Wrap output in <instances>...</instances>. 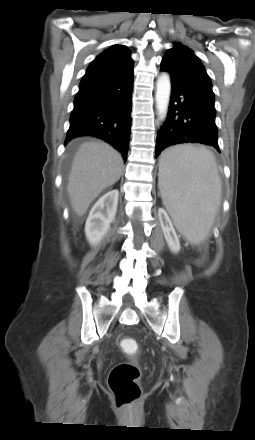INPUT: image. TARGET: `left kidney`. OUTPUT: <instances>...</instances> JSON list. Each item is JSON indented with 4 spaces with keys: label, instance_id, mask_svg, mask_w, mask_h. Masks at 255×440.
<instances>
[{
    "label": "left kidney",
    "instance_id": "obj_1",
    "mask_svg": "<svg viewBox=\"0 0 255 440\" xmlns=\"http://www.w3.org/2000/svg\"><path fill=\"white\" fill-rule=\"evenodd\" d=\"M163 217L162 229L165 240L173 253L180 251V244L175 229L168 217V215L161 210L160 217Z\"/></svg>",
    "mask_w": 255,
    "mask_h": 440
}]
</instances>
